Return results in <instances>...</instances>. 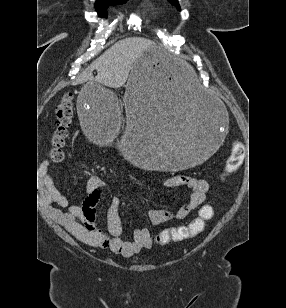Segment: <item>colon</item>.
<instances>
[{"mask_svg":"<svg viewBox=\"0 0 286 308\" xmlns=\"http://www.w3.org/2000/svg\"><path fill=\"white\" fill-rule=\"evenodd\" d=\"M74 115L73 98L65 94L56 108L55 128L50 143L49 157L53 162H60L63 158L62 148L68 137L69 128ZM245 157V147L241 142H234L230 155L224 166L223 175L227 176L240 168ZM213 216V208L204 205L200 208L198 217L187 225L166 228L156 237L159 245H166L172 241H182L200 234L205 227V222Z\"/></svg>","mask_w":286,"mask_h":308,"instance_id":"obj_1","label":"colon"}]
</instances>
